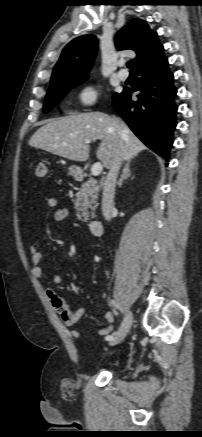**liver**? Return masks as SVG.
Here are the masks:
<instances>
[{"label": "liver", "instance_id": "1", "mask_svg": "<svg viewBox=\"0 0 202 437\" xmlns=\"http://www.w3.org/2000/svg\"><path fill=\"white\" fill-rule=\"evenodd\" d=\"M87 140H101L96 156L107 169L118 160H131L146 148L121 119L101 112L52 119L32 135L29 145L85 162L90 149Z\"/></svg>", "mask_w": 202, "mask_h": 437}]
</instances>
